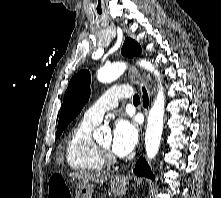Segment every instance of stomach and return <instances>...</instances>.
Masks as SVG:
<instances>
[{"label": "stomach", "instance_id": "1", "mask_svg": "<svg viewBox=\"0 0 221 198\" xmlns=\"http://www.w3.org/2000/svg\"><path fill=\"white\" fill-rule=\"evenodd\" d=\"M75 187V198H91L93 193V184L90 182L76 181ZM111 191L117 196L124 195L129 188V181L127 179H120L111 182Z\"/></svg>", "mask_w": 221, "mask_h": 198}]
</instances>
